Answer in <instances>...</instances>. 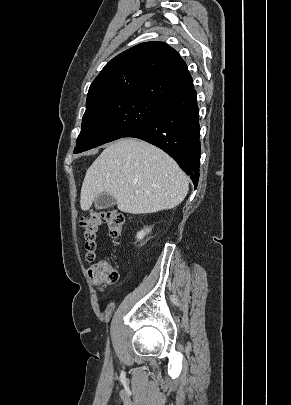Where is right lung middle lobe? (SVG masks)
Here are the masks:
<instances>
[{
  "label": "right lung middle lobe",
  "mask_w": 291,
  "mask_h": 405,
  "mask_svg": "<svg viewBox=\"0 0 291 405\" xmlns=\"http://www.w3.org/2000/svg\"><path fill=\"white\" fill-rule=\"evenodd\" d=\"M163 105L146 98H126L86 108L74 154L125 137L150 120Z\"/></svg>",
  "instance_id": "right-lung-middle-lobe-1"
}]
</instances>
